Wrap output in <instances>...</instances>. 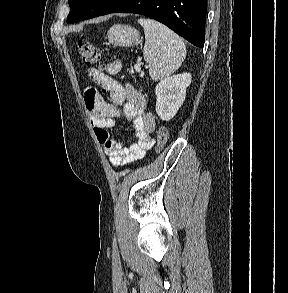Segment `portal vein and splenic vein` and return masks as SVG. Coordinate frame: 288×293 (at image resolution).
<instances>
[{"label": "portal vein and splenic vein", "instance_id": "18ae733b", "mask_svg": "<svg viewBox=\"0 0 288 293\" xmlns=\"http://www.w3.org/2000/svg\"><path fill=\"white\" fill-rule=\"evenodd\" d=\"M134 69H135L136 71H138V72L141 71V68H140L138 65H135V66H134Z\"/></svg>", "mask_w": 288, "mask_h": 293}]
</instances>
